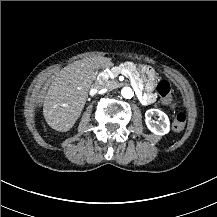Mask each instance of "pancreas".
<instances>
[{
  "label": "pancreas",
  "mask_w": 217,
  "mask_h": 217,
  "mask_svg": "<svg viewBox=\"0 0 217 217\" xmlns=\"http://www.w3.org/2000/svg\"><path fill=\"white\" fill-rule=\"evenodd\" d=\"M119 67L120 69L121 68H124L126 70H128L129 72L132 73L136 83H139V82H142V79L140 78L136 68L133 66V63L132 62H127V63H121L119 64V66H116V68L114 69V71L112 72V75H115L116 72H118L119 70Z\"/></svg>",
  "instance_id": "pancreas-1"
}]
</instances>
